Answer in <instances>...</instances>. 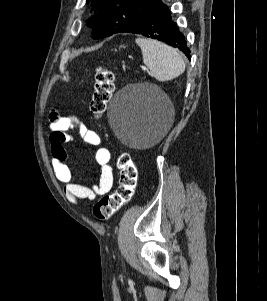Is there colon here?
Here are the masks:
<instances>
[{
	"instance_id": "colon-1",
	"label": "colon",
	"mask_w": 267,
	"mask_h": 301,
	"mask_svg": "<svg viewBox=\"0 0 267 301\" xmlns=\"http://www.w3.org/2000/svg\"><path fill=\"white\" fill-rule=\"evenodd\" d=\"M114 91V74L107 68L99 67L95 76V88L90 103V111L95 118H100L106 111ZM120 172L119 185L110 195L101 198L93 208L94 216L99 220H108L124 204L128 203L134 194L138 172L128 154H121L117 160Z\"/></svg>"
}]
</instances>
